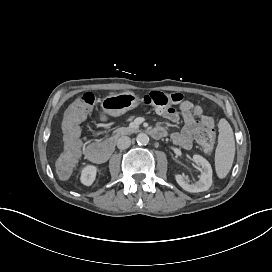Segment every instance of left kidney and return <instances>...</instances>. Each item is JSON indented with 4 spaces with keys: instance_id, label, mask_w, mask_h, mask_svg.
Here are the masks:
<instances>
[{
    "instance_id": "left-kidney-1",
    "label": "left kidney",
    "mask_w": 272,
    "mask_h": 272,
    "mask_svg": "<svg viewBox=\"0 0 272 272\" xmlns=\"http://www.w3.org/2000/svg\"><path fill=\"white\" fill-rule=\"evenodd\" d=\"M193 161L200 165L203 169L202 174L197 182L189 184L182 175L176 174L175 179L177 183L186 191L196 193L203 192L212 185V168L210 163L200 155H193Z\"/></svg>"
}]
</instances>
